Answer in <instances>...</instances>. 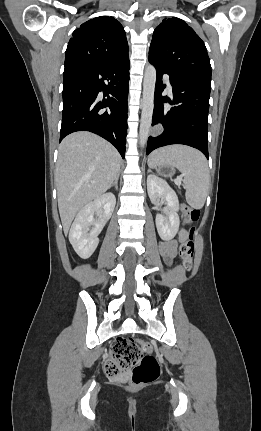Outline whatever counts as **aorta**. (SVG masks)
Instances as JSON below:
<instances>
[{
    "label": "aorta",
    "mask_w": 261,
    "mask_h": 431,
    "mask_svg": "<svg viewBox=\"0 0 261 431\" xmlns=\"http://www.w3.org/2000/svg\"><path fill=\"white\" fill-rule=\"evenodd\" d=\"M156 83V69L153 65H148L145 69L143 81V104L141 123L139 131L140 146L144 147L149 131L151 129L153 109H154V92Z\"/></svg>",
    "instance_id": "762f6f07"
}]
</instances>
